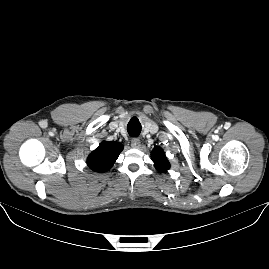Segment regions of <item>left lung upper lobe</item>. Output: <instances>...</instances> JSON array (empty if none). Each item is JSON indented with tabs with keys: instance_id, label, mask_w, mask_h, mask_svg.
<instances>
[{
	"instance_id": "left-lung-upper-lobe-1",
	"label": "left lung upper lobe",
	"mask_w": 269,
	"mask_h": 269,
	"mask_svg": "<svg viewBox=\"0 0 269 269\" xmlns=\"http://www.w3.org/2000/svg\"><path fill=\"white\" fill-rule=\"evenodd\" d=\"M151 156L155 163V167L159 172H166L170 168V164L161 148L155 147L151 153Z\"/></svg>"
}]
</instances>
